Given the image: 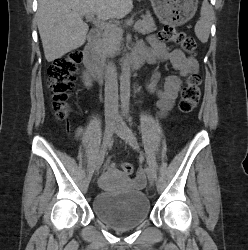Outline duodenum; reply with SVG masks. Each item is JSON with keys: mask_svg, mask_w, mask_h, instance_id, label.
Returning a JSON list of instances; mask_svg holds the SVG:
<instances>
[{"mask_svg": "<svg viewBox=\"0 0 248 250\" xmlns=\"http://www.w3.org/2000/svg\"><path fill=\"white\" fill-rule=\"evenodd\" d=\"M100 43V29L93 27L89 33L88 41L83 50V62L85 66L93 73V75L102 81L105 77L106 68L101 61L98 48ZM147 60V56L141 52H137L131 57L123 61L125 68H138Z\"/></svg>", "mask_w": 248, "mask_h": 250, "instance_id": "obj_1", "label": "duodenum"}]
</instances>
